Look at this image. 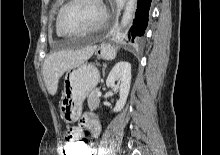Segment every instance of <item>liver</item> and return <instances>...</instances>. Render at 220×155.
I'll use <instances>...</instances> for the list:
<instances>
[{
  "mask_svg": "<svg viewBox=\"0 0 220 155\" xmlns=\"http://www.w3.org/2000/svg\"><path fill=\"white\" fill-rule=\"evenodd\" d=\"M95 47L79 50H60L50 54L44 61L42 74L49 94L54 96L62 75L87 61Z\"/></svg>",
  "mask_w": 220,
  "mask_h": 155,
  "instance_id": "1",
  "label": "liver"
}]
</instances>
